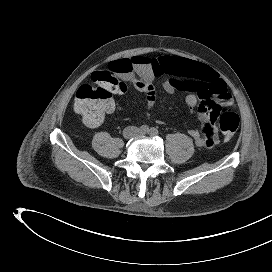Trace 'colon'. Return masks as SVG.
Here are the masks:
<instances>
[{
  "label": "colon",
  "instance_id": "obj_1",
  "mask_svg": "<svg viewBox=\"0 0 272 272\" xmlns=\"http://www.w3.org/2000/svg\"><path fill=\"white\" fill-rule=\"evenodd\" d=\"M93 85H82L74 98V110L90 127L99 126L113 103L115 94L126 90L125 84L118 79L116 72L110 70L96 71L92 75ZM218 123L226 140L236 133L240 119L237 113L219 107Z\"/></svg>",
  "mask_w": 272,
  "mask_h": 272
}]
</instances>
